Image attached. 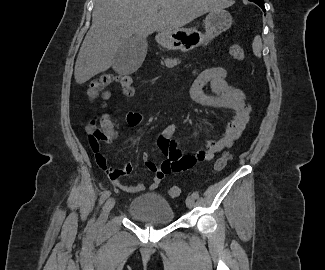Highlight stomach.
Instances as JSON below:
<instances>
[{
    "mask_svg": "<svg viewBox=\"0 0 325 270\" xmlns=\"http://www.w3.org/2000/svg\"><path fill=\"white\" fill-rule=\"evenodd\" d=\"M232 16L224 10H213L205 18L204 34L196 30L180 31L172 34H161L159 42L166 48L188 51L200 45H206L210 40L231 27Z\"/></svg>",
    "mask_w": 325,
    "mask_h": 270,
    "instance_id": "1",
    "label": "stomach"
}]
</instances>
